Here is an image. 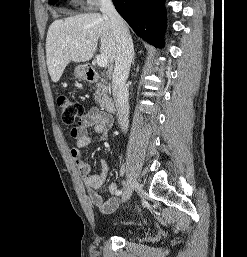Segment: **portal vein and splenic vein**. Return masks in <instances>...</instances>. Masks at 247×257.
Here are the masks:
<instances>
[{
	"mask_svg": "<svg viewBox=\"0 0 247 257\" xmlns=\"http://www.w3.org/2000/svg\"><path fill=\"white\" fill-rule=\"evenodd\" d=\"M87 43L89 42L87 41ZM96 62L99 67H106L108 65V58L105 55H98Z\"/></svg>",
	"mask_w": 247,
	"mask_h": 257,
	"instance_id": "18ae733b",
	"label": "portal vein and splenic vein"
}]
</instances>
